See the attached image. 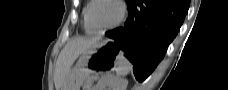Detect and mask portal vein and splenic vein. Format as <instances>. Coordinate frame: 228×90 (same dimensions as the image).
Listing matches in <instances>:
<instances>
[{
  "mask_svg": "<svg viewBox=\"0 0 228 90\" xmlns=\"http://www.w3.org/2000/svg\"><path fill=\"white\" fill-rule=\"evenodd\" d=\"M94 79H95V80H97V79H98V77H97V76H95V77H94Z\"/></svg>",
  "mask_w": 228,
  "mask_h": 90,
  "instance_id": "obj_1",
  "label": "portal vein and splenic vein"
}]
</instances>
